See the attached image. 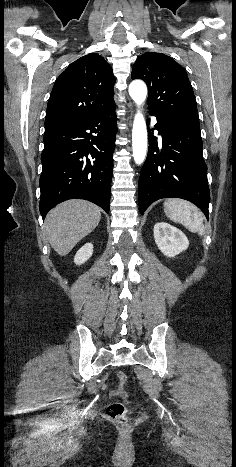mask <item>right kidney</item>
<instances>
[{
	"label": "right kidney",
	"instance_id": "obj_1",
	"mask_svg": "<svg viewBox=\"0 0 236 467\" xmlns=\"http://www.w3.org/2000/svg\"><path fill=\"white\" fill-rule=\"evenodd\" d=\"M93 254V245L91 243H86L82 246L74 257V262L77 265L85 263Z\"/></svg>",
	"mask_w": 236,
	"mask_h": 467
}]
</instances>
